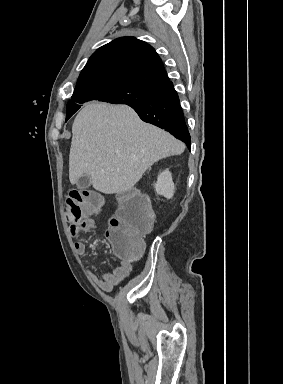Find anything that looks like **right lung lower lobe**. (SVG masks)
Wrapping results in <instances>:
<instances>
[{"instance_id": "right-lung-lower-lobe-1", "label": "right lung lower lobe", "mask_w": 283, "mask_h": 384, "mask_svg": "<svg viewBox=\"0 0 283 384\" xmlns=\"http://www.w3.org/2000/svg\"><path fill=\"white\" fill-rule=\"evenodd\" d=\"M128 105L138 113L143 121L168 131L177 139L185 142L190 149V134L178 94L170 80L157 88L148 101Z\"/></svg>"}]
</instances>
